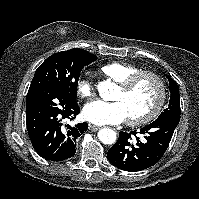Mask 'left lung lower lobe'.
Instances as JSON below:
<instances>
[{
  "mask_svg": "<svg viewBox=\"0 0 199 199\" xmlns=\"http://www.w3.org/2000/svg\"><path fill=\"white\" fill-rule=\"evenodd\" d=\"M179 122L157 119L136 131L120 132L117 142L108 151V160L121 170L136 172L155 165L165 153Z\"/></svg>",
  "mask_w": 199,
  "mask_h": 199,
  "instance_id": "left-lung-lower-lobe-1",
  "label": "left lung lower lobe"
}]
</instances>
